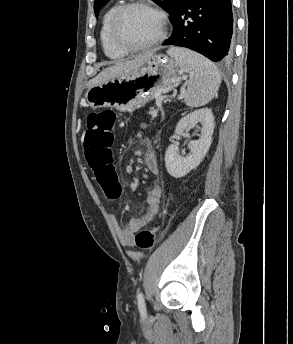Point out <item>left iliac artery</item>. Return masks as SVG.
Masks as SVG:
<instances>
[{
	"label": "left iliac artery",
	"instance_id": "obj_1",
	"mask_svg": "<svg viewBox=\"0 0 293 344\" xmlns=\"http://www.w3.org/2000/svg\"><path fill=\"white\" fill-rule=\"evenodd\" d=\"M137 300H138L139 311H140L142 316H145L146 315V305H145V301L143 298V294L141 292L138 294Z\"/></svg>",
	"mask_w": 293,
	"mask_h": 344
}]
</instances>
